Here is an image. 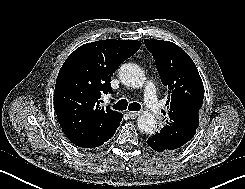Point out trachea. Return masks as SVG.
<instances>
[{
  "mask_svg": "<svg viewBox=\"0 0 245 189\" xmlns=\"http://www.w3.org/2000/svg\"><path fill=\"white\" fill-rule=\"evenodd\" d=\"M127 107L130 111H140L141 109V105L139 103L134 102L128 104V101L126 99H121L120 101H118V103L113 105V108L119 111L126 110Z\"/></svg>",
  "mask_w": 245,
  "mask_h": 189,
  "instance_id": "3493384b",
  "label": "trachea"
}]
</instances>
